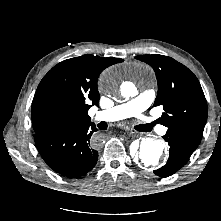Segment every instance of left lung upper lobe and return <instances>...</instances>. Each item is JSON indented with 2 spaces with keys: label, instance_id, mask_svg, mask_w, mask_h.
<instances>
[{
  "label": "left lung upper lobe",
  "instance_id": "obj_1",
  "mask_svg": "<svg viewBox=\"0 0 221 221\" xmlns=\"http://www.w3.org/2000/svg\"><path fill=\"white\" fill-rule=\"evenodd\" d=\"M155 71L158 93L154 106H163L162 125L166 134L200 142L207 121V102L196 76L171 57L152 54L135 57Z\"/></svg>",
  "mask_w": 221,
  "mask_h": 221
}]
</instances>
